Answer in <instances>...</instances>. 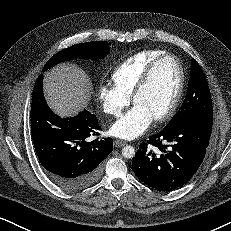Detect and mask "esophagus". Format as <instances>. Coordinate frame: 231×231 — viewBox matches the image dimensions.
I'll return each mask as SVG.
<instances>
[{"label": "esophagus", "instance_id": "obj_1", "mask_svg": "<svg viewBox=\"0 0 231 231\" xmlns=\"http://www.w3.org/2000/svg\"><path fill=\"white\" fill-rule=\"evenodd\" d=\"M127 144V142L126 141H123V140H116L115 142H114V145H115V147H123V146H125Z\"/></svg>", "mask_w": 231, "mask_h": 231}]
</instances>
